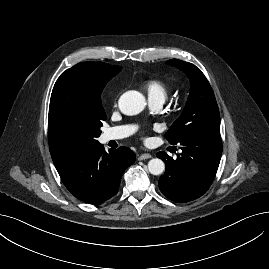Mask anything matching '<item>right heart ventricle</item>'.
I'll return each instance as SVG.
<instances>
[{
  "mask_svg": "<svg viewBox=\"0 0 269 269\" xmlns=\"http://www.w3.org/2000/svg\"><path fill=\"white\" fill-rule=\"evenodd\" d=\"M144 88L148 93L149 99H163L168 96L169 88L167 84L158 79H149L144 83Z\"/></svg>",
  "mask_w": 269,
  "mask_h": 269,
  "instance_id": "right-heart-ventricle-1",
  "label": "right heart ventricle"
}]
</instances>
